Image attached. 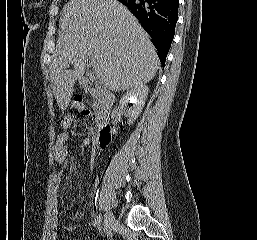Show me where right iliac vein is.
Returning <instances> with one entry per match:
<instances>
[{
	"label": "right iliac vein",
	"mask_w": 257,
	"mask_h": 240,
	"mask_svg": "<svg viewBox=\"0 0 257 240\" xmlns=\"http://www.w3.org/2000/svg\"><path fill=\"white\" fill-rule=\"evenodd\" d=\"M115 225H116V218L113 215V213L110 211L106 212L105 219H104V226L106 231H111Z\"/></svg>",
	"instance_id": "63e3f726"
}]
</instances>
